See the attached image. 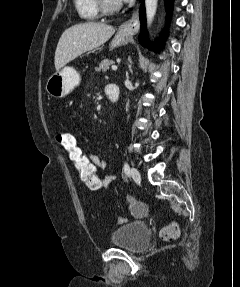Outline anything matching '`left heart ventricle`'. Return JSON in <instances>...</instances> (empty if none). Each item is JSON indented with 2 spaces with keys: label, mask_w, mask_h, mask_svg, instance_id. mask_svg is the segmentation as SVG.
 <instances>
[{
  "label": "left heart ventricle",
  "mask_w": 240,
  "mask_h": 287,
  "mask_svg": "<svg viewBox=\"0 0 240 287\" xmlns=\"http://www.w3.org/2000/svg\"><path fill=\"white\" fill-rule=\"evenodd\" d=\"M110 3H115L117 0H108Z\"/></svg>",
  "instance_id": "1"
}]
</instances>
